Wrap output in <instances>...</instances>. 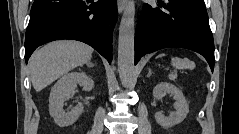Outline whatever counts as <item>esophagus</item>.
<instances>
[{"label":"esophagus","mask_w":239,"mask_h":134,"mask_svg":"<svg viewBox=\"0 0 239 134\" xmlns=\"http://www.w3.org/2000/svg\"><path fill=\"white\" fill-rule=\"evenodd\" d=\"M127 0H117V8L118 12L122 13L125 6H126Z\"/></svg>","instance_id":"1"}]
</instances>
